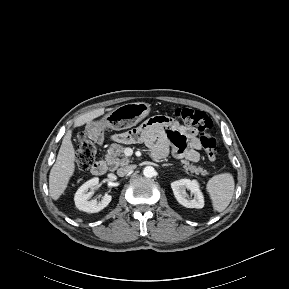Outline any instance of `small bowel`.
Returning <instances> with one entry per match:
<instances>
[{
	"instance_id": "1",
	"label": "small bowel",
	"mask_w": 289,
	"mask_h": 289,
	"mask_svg": "<svg viewBox=\"0 0 289 289\" xmlns=\"http://www.w3.org/2000/svg\"><path fill=\"white\" fill-rule=\"evenodd\" d=\"M118 141L144 142L156 159L164 158L172 147L174 156L191 162L199 160L201 140L195 128L180 125L167 117L152 118L136 129L115 137Z\"/></svg>"
}]
</instances>
